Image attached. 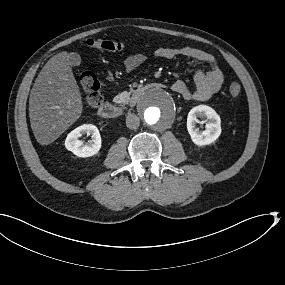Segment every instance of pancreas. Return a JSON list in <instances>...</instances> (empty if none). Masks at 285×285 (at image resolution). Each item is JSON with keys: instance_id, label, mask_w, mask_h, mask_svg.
Instances as JSON below:
<instances>
[{"instance_id": "pancreas-1", "label": "pancreas", "mask_w": 285, "mask_h": 285, "mask_svg": "<svg viewBox=\"0 0 285 285\" xmlns=\"http://www.w3.org/2000/svg\"><path fill=\"white\" fill-rule=\"evenodd\" d=\"M121 109L123 110V109H125V107H124V106H122V107H121Z\"/></svg>"}]
</instances>
